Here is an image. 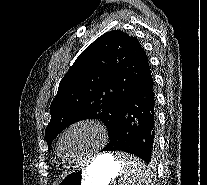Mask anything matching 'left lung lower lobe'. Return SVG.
<instances>
[{
  "mask_svg": "<svg viewBox=\"0 0 207 185\" xmlns=\"http://www.w3.org/2000/svg\"><path fill=\"white\" fill-rule=\"evenodd\" d=\"M152 74L120 107L103 151H123L149 163L156 149V110Z\"/></svg>",
  "mask_w": 207,
  "mask_h": 185,
  "instance_id": "obj_1",
  "label": "left lung lower lobe"
}]
</instances>
